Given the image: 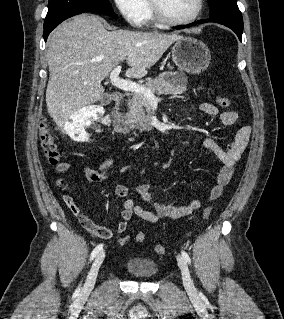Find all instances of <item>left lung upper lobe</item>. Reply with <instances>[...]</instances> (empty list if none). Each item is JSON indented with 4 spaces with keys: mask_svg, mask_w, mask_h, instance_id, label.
Instances as JSON below:
<instances>
[{
    "mask_svg": "<svg viewBox=\"0 0 284 319\" xmlns=\"http://www.w3.org/2000/svg\"><path fill=\"white\" fill-rule=\"evenodd\" d=\"M210 18H230L243 21L236 0H208Z\"/></svg>",
    "mask_w": 284,
    "mask_h": 319,
    "instance_id": "obj_1",
    "label": "left lung upper lobe"
}]
</instances>
